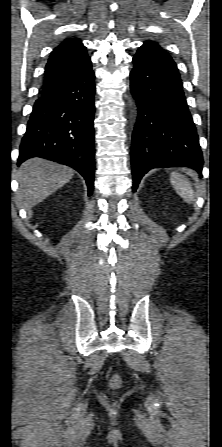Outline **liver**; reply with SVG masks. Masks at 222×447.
Wrapping results in <instances>:
<instances>
[{
	"instance_id": "6515ba94",
	"label": "liver",
	"mask_w": 222,
	"mask_h": 447,
	"mask_svg": "<svg viewBox=\"0 0 222 447\" xmlns=\"http://www.w3.org/2000/svg\"><path fill=\"white\" fill-rule=\"evenodd\" d=\"M73 169L41 158L25 161L19 168L18 197L25 209L36 206L68 183Z\"/></svg>"
}]
</instances>
